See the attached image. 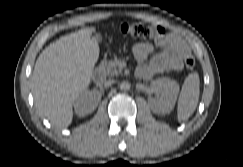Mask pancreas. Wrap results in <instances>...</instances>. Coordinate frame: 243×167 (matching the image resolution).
I'll return each instance as SVG.
<instances>
[{
    "instance_id": "obj_1",
    "label": "pancreas",
    "mask_w": 243,
    "mask_h": 167,
    "mask_svg": "<svg viewBox=\"0 0 243 167\" xmlns=\"http://www.w3.org/2000/svg\"><path fill=\"white\" fill-rule=\"evenodd\" d=\"M121 60H114L102 63L101 67L106 76H117L121 74L122 68L120 67Z\"/></svg>"
}]
</instances>
